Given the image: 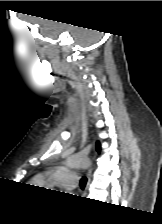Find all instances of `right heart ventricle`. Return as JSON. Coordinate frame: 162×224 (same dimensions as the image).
Segmentation results:
<instances>
[{
	"label": "right heart ventricle",
	"instance_id": "right-heart-ventricle-1",
	"mask_svg": "<svg viewBox=\"0 0 162 224\" xmlns=\"http://www.w3.org/2000/svg\"><path fill=\"white\" fill-rule=\"evenodd\" d=\"M33 182L36 183V184H41L42 183V181L40 179H35V180H33Z\"/></svg>",
	"mask_w": 162,
	"mask_h": 224
}]
</instances>
